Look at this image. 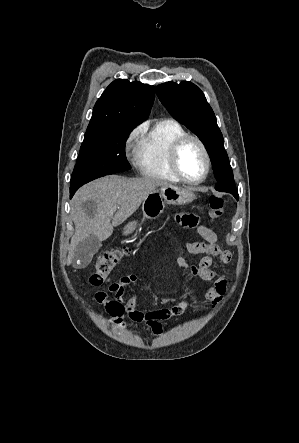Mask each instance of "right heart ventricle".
I'll list each match as a JSON object with an SVG mask.
<instances>
[{"instance_id":"e07e8e85","label":"right heart ventricle","mask_w":299,"mask_h":443,"mask_svg":"<svg viewBox=\"0 0 299 443\" xmlns=\"http://www.w3.org/2000/svg\"><path fill=\"white\" fill-rule=\"evenodd\" d=\"M187 134L183 126L174 119L156 122L141 139L137 164L142 175L150 178L178 182L170 166V149L181 136Z\"/></svg>"}]
</instances>
